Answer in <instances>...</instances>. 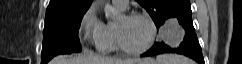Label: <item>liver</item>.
Here are the masks:
<instances>
[{"label": "liver", "mask_w": 242, "mask_h": 64, "mask_svg": "<svg viewBox=\"0 0 242 64\" xmlns=\"http://www.w3.org/2000/svg\"><path fill=\"white\" fill-rule=\"evenodd\" d=\"M152 62V59H112L96 55L87 56H58L50 61V64H146Z\"/></svg>", "instance_id": "obj_1"}]
</instances>
